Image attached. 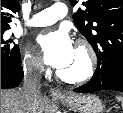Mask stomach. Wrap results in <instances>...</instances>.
<instances>
[{"label":"stomach","mask_w":123,"mask_h":113,"mask_svg":"<svg viewBox=\"0 0 123 113\" xmlns=\"http://www.w3.org/2000/svg\"><path fill=\"white\" fill-rule=\"evenodd\" d=\"M57 99L68 108L79 113H103L104 105L95 95L69 94L57 97Z\"/></svg>","instance_id":"obj_1"}]
</instances>
